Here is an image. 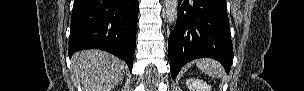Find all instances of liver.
Wrapping results in <instances>:
<instances>
[{
	"label": "liver",
	"instance_id": "liver-1",
	"mask_svg": "<svg viewBox=\"0 0 304 91\" xmlns=\"http://www.w3.org/2000/svg\"><path fill=\"white\" fill-rule=\"evenodd\" d=\"M126 64L100 50H84L72 57L73 77L84 91H111L125 75Z\"/></svg>",
	"mask_w": 304,
	"mask_h": 91
}]
</instances>
